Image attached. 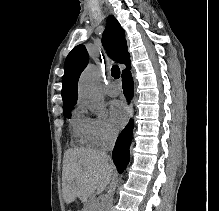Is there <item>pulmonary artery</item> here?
<instances>
[{
  "label": "pulmonary artery",
  "mask_w": 219,
  "mask_h": 211,
  "mask_svg": "<svg viewBox=\"0 0 219 211\" xmlns=\"http://www.w3.org/2000/svg\"><path fill=\"white\" fill-rule=\"evenodd\" d=\"M122 86L117 81L109 82L106 86V92L109 96H117L120 94Z\"/></svg>",
  "instance_id": "pulmonary-artery-1"
}]
</instances>
